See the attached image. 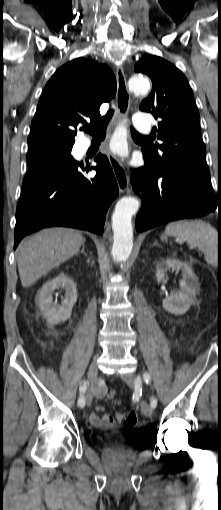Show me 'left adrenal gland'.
<instances>
[{"label": "left adrenal gland", "mask_w": 221, "mask_h": 510, "mask_svg": "<svg viewBox=\"0 0 221 510\" xmlns=\"http://www.w3.org/2000/svg\"><path fill=\"white\" fill-rule=\"evenodd\" d=\"M153 245H154V246H159V244H158V242H157V241H155Z\"/></svg>", "instance_id": "a2214340"}]
</instances>
